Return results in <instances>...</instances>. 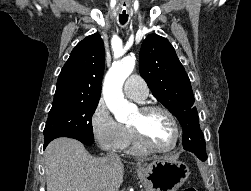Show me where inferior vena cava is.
<instances>
[{
  "label": "inferior vena cava",
  "mask_w": 251,
  "mask_h": 191,
  "mask_svg": "<svg viewBox=\"0 0 251 191\" xmlns=\"http://www.w3.org/2000/svg\"><path fill=\"white\" fill-rule=\"evenodd\" d=\"M106 159H111V161H120V157L118 153H114V151H108L107 155H105Z\"/></svg>",
  "instance_id": "obj_1"
}]
</instances>
